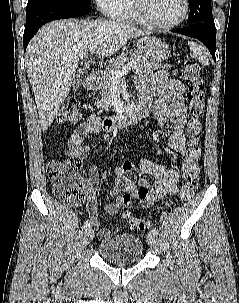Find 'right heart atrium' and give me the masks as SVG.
Wrapping results in <instances>:
<instances>
[{
    "label": "right heart atrium",
    "mask_w": 239,
    "mask_h": 303,
    "mask_svg": "<svg viewBox=\"0 0 239 303\" xmlns=\"http://www.w3.org/2000/svg\"><path fill=\"white\" fill-rule=\"evenodd\" d=\"M97 7L108 17H119L125 8L126 0H94Z\"/></svg>",
    "instance_id": "d8ad5b80"
}]
</instances>
